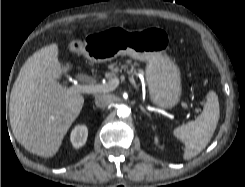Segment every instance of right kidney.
Here are the masks:
<instances>
[{
  "label": "right kidney",
  "mask_w": 245,
  "mask_h": 187,
  "mask_svg": "<svg viewBox=\"0 0 245 187\" xmlns=\"http://www.w3.org/2000/svg\"><path fill=\"white\" fill-rule=\"evenodd\" d=\"M87 137V127L85 125H77L71 132L70 141L74 148H80L86 143Z\"/></svg>",
  "instance_id": "right-kidney-1"
}]
</instances>
